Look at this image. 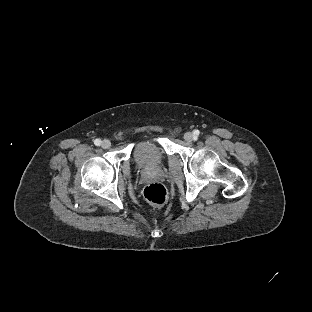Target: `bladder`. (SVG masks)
I'll list each match as a JSON object with an SVG mask.
<instances>
[{"label":"bladder","instance_id":"bladder-1","mask_svg":"<svg viewBox=\"0 0 312 312\" xmlns=\"http://www.w3.org/2000/svg\"><path fill=\"white\" fill-rule=\"evenodd\" d=\"M165 160L161 151L152 145H144L139 147L137 151L136 161L142 168L152 169Z\"/></svg>","mask_w":312,"mask_h":312}]
</instances>
